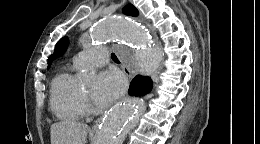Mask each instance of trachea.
Wrapping results in <instances>:
<instances>
[{
    "label": "trachea",
    "mask_w": 260,
    "mask_h": 144,
    "mask_svg": "<svg viewBox=\"0 0 260 144\" xmlns=\"http://www.w3.org/2000/svg\"><path fill=\"white\" fill-rule=\"evenodd\" d=\"M111 58H112L113 61L119 62L117 56L114 53L111 54Z\"/></svg>",
    "instance_id": "trachea-1"
}]
</instances>
